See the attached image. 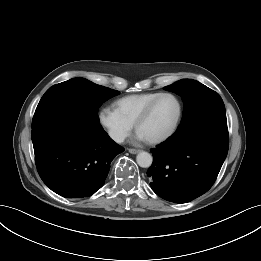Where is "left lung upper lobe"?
<instances>
[{
    "label": "left lung upper lobe",
    "instance_id": "5c2ea615",
    "mask_svg": "<svg viewBox=\"0 0 261 261\" xmlns=\"http://www.w3.org/2000/svg\"><path fill=\"white\" fill-rule=\"evenodd\" d=\"M182 97L184 111L176 133L192 130L206 122L226 118L225 106L218 93L192 79H183L164 87Z\"/></svg>",
    "mask_w": 261,
    "mask_h": 261
}]
</instances>
